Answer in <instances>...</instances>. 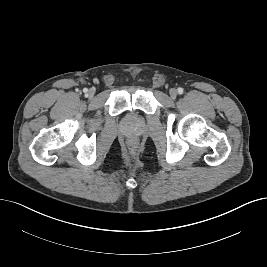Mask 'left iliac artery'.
Listing matches in <instances>:
<instances>
[{"label": "left iliac artery", "instance_id": "obj_1", "mask_svg": "<svg viewBox=\"0 0 267 267\" xmlns=\"http://www.w3.org/2000/svg\"><path fill=\"white\" fill-rule=\"evenodd\" d=\"M178 93L182 94L183 93V88H178Z\"/></svg>", "mask_w": 267, "mask_h": 267}]
</instances>
